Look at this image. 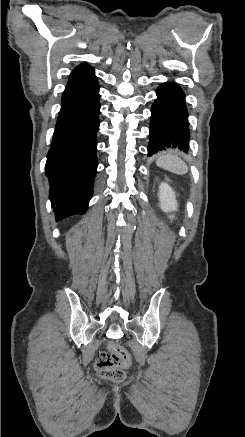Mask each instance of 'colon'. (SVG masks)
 Listing matches in <instances>:
<instances>
[{"label":"colon","instance_id":"5ec220e1","mask_svg":"<svg viewBox=\"0 0 245 437\" xmlns=\"http://www.w3.org/2000/svg\"><path fill=\"white\" fill-rule=\"evenodd\" d=\"M131 364V357L122 346L111 343L109 351L100 352L96 360V368L103 378L120 382L125 377V369Z\"/></svg>","mask_w":245,"mask_h":437}]
</instances>
